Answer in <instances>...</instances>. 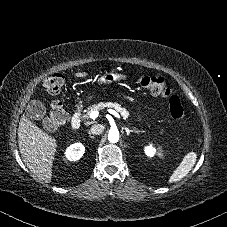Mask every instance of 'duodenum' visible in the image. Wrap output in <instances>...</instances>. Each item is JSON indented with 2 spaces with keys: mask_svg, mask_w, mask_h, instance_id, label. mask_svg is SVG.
I'll return each mask as SVG.
<instances>
[{
  "mask_svg": "<svg viewBox=\"0 0 227 227\" xmlns=\"http://www.w3.org/2000/svg\"><path fill=\"white\" fill-rule=\"evenodd\" d=\"M82 126V110L77 107L71 120V127L73 130L77 131Z\"/></svg>",
  "mask_w": 227,
  "mask_h": 227,
  "instance_id": "410a0bca",
  "label": "duodenum"
}]
</instances>
